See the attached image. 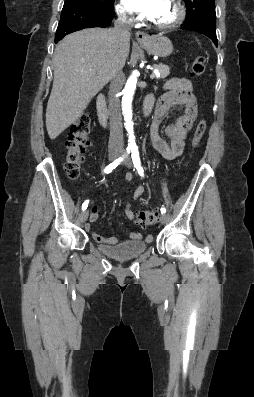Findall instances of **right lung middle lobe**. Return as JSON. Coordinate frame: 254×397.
Segmentation results:
<instances>
[{
  "label": "right lung middle lobe",
  "instance_id": "dd1d6c3e",
  "mask_svg": "<svg viewBox=\"0 0 254 397\" xmlns=\"http://www.w3.org/2000/svg\"><path fill=\"white\" fill-rule=\"evenodd\" d=\"M75 2L83 7L99 10L108 11L113 10L114 0H66Z\"/></svg>",
  "mask_w": 254,
  "mask_h": 397
}]
</instances>
